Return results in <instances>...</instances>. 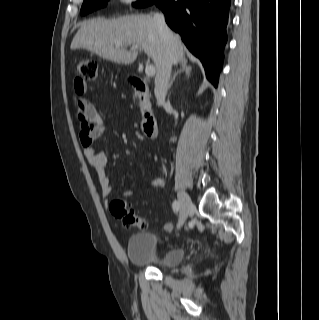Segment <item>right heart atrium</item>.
I'll list each match as a JSON object with an SVG mask.
<instances>
[{
    "instance_id": "1",
    "label": "right heart atrium",
    "mask_w": 319,
    "mask_h": 320,
    "mask_svg": "<svg viewBox=\"0 0 319 320\" xmlns=\"http://www.w3.org/2000/svg\"><path fill=\"white\" fill-rule=\"evenodd\" d=\"M122 5H131L135 3L137 0H118Z\"/></svg>"
}]
</instances>
